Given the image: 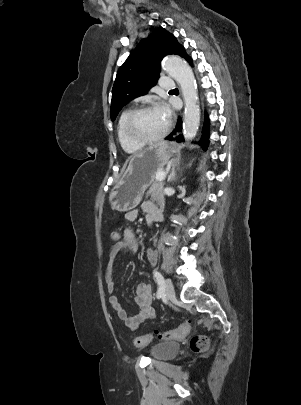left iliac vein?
I'll list each match as a JSON object with an SVG mask.
<instances>
[{"label": "left iliac vein", "instance_id": "left-iliac-vein-1", "mask_svg": "<svg viewBox=\"0 0 301 405\" xmlns=\"http://www.w3.org/2000/svg\"><path fill=\"white\" fill-rule=\"evenodd\" d=\"M165 296L167 299L174 301L175 300V291L170 279L165 280Z\"/></svg>", "mask_w": 301, "mask_h": 405}]
</instances>
